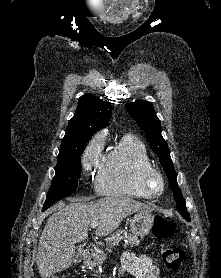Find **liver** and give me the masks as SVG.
Segmentation results:
<instances>
[{
	"label": "liver",
	"mask_w": 221,
	"mask_h": 278,
	"mask_svg": "<svg viewBox=\"0 0 221 278\" xmlns=\"http://www.w3.org/2000/svg\"><path fill=\"white\" fill-rule=\"evenodd\" d=\"M47 221L39 240L37 269L43 278L68 269L75 257V244L88 238L90 224L98 222L95 234L107 236L133 213H150L152 208L125 196H111L85 203L73 199Z\"/></svg>",
	"instance_id": "obj_1"
}]
</instances>
